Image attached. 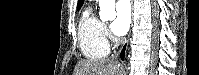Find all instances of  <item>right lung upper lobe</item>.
Listing matches in <instances>:
<instances>
[{"instance_id": "right-lung-upper-lobe-1", "label": "right lung upper lobe", "mask_w": 199, "mask_h": 75, "mask_svg": "<svg viewBox=\"0 0 199 75\" xmlns=\"http://www.w3.org/2000/svg\"><path fill=\"white\" fill-rule=\"evenodd\" d=\"M83 3H84V0H78V6H77L78 10L81 8Z\"/></svg>"}]
</instances>
